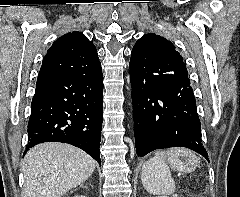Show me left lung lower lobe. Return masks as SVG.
Segmentation results:
<instances>
[{
  "instance_id": "1",
  "label": "left lung lower lobe",
  "mask_w": 240,
  "mask_h": 197,
  "mask_svg": "<svg viewBox=\"0 0 240 197\" xmlns=\"http://www.w3.org/2000/svg\"><path fill=\"white\" fill-rule=\"evenodd\" d=\"M130 78L138 156L179 146L208 160L190 80L157 70L145 73L132 68Z\"/></svg>"
}]
</instances>
